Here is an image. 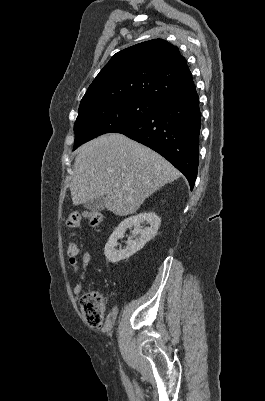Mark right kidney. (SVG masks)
I'll return each instance as SVG.
<instances>
[{
    "instance_id": "obj_1",
    "label": "right kidney",
    "mask_w": 265,
    "mask_h": 401,
    "mask_svg": "<svg viewBox=\"0 0 265 401\" xmlns=\"http://www.w3.org/2000/svg\"><path fill=\"white\" fill-rule=\"evenodd\" d=\"M144 221L150 225L148 229H142V227H140L141 223H144ZM160 223L161 221L155 213H140V215H135V217H129V219L121 221L120 225H118L117 229H115L114 233L109 237L108 243L105 245L104 255L107 261H109V263H119V261H123V259L132 257L134 253H137V251H140V249L144 247L147 241H151L152 237H155ZM131 227H134L132 233L135 239L129 237L126 249L117 251L115 247L118 245V239H123L126 229H131ZM137 235H139V237H137Z\"/></svg>"
}]
</instances>
